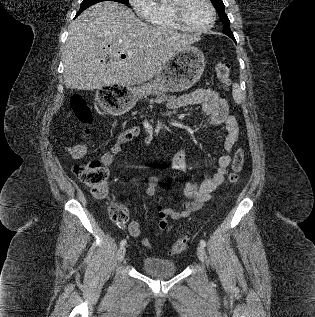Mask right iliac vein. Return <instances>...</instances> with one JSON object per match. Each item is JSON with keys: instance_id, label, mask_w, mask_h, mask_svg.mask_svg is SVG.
<instances>
[{"instance_id": "63e3f726", "label": "right iliac vein", "mask_w": 315, "mask_h": 317, "mask_svg": "<svg viewBox=\"0 0 315 317\" xmlns=\"http://www.w3.org/2000/svg\"><path fill=\"white\" fill-rule=\"evenodd\" d=\"M125 254H126L125 247H120L117 253V258L119 262H121L124 259Z\"/></svg>"}]
</instances>
